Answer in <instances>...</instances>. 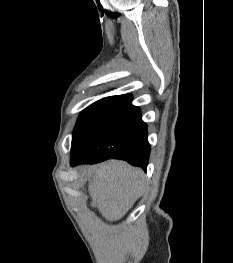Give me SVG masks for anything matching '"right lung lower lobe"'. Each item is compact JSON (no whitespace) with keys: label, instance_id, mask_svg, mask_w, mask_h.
I'll return each instance as SVG.
<instances>
[{"label":"right lung lower lobe","instance_id":"obj_1","mask_svg":"<svg viewBox=\"0 0 233 263\" xmlns=\"http://www.w3.org/2000/svg\"><path fill=\"white\" fill-rule=\"evenodd\" d=\"M131 100L129 94L118 97L87 134L72 142V164H92L114 158L146 170L150 155L147 125Z\"/></svg>","mask_w":233,"mask_h":263}]
</instances>
